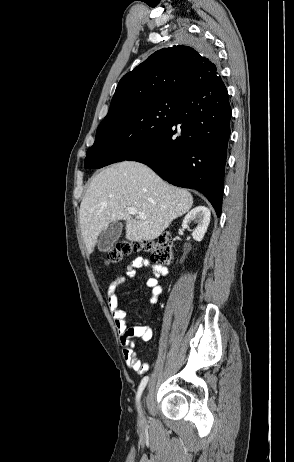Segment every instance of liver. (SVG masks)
<instances>
[{
  "instance_id": "liver-1",
  "label": "liver",
  "mask_w": 294,
  "mask_h": 462,
  "mask_svg": "<svg viewBox=\"0 0 294 462\" xmlns=\"http://www.w3.org/2000/svg\"><path fill=\"white\" fill-rule=\"evenodd\" d=\"M192 205L190 192L169 185L146 165L113 164L92 179L81 201L79 220L87 251L92 253L100 233L118 220L126 222V239H156ZM128 208L143 212L146 218H133Z\"/></svg>"
}]
</instances>
